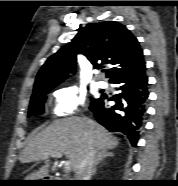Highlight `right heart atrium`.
I'll return each instance as SVG.
<instances>
[{
	"mask_svg": "<svg viewBox=\"0 0 178 186\" xmlns=\"http://www.w3.org/2000/svg\"><path fill=\"white\" fill-rule=\"evenodd\" d=\"M54 114L66 118L81 111L86 104V94L75 86L60 88L54 92Z\"/></svg>",
	"mask_w": 178,
	"mask_h": 186,
	"instance_id": "d8ad5b80",
	"label": "right heart atrium"
}]
</instances>
